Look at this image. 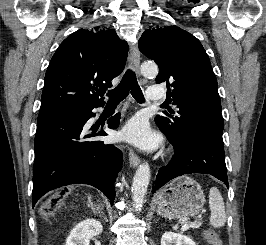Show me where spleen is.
I'll return each instance as SVG.
<instances>
[{
    "label": "spleen",
    "instance_id": "3e777b00",
    "mask_svg": "<svg viewBox=\"0 0 266 245\" xmlns=\"http://www.w3.org/2000/svg\"><path fill=\"white\" fill-rule=\"evenodd\" d=\"M209 207L211 211L210 225H212L214 229L224 227L226 223L224 201L217 187H212L209 191Z\"/></svg>",
    "mask_w": 266,
    "mask_h": 245
}]
</instances>
